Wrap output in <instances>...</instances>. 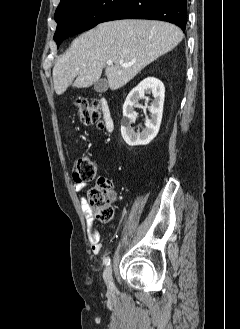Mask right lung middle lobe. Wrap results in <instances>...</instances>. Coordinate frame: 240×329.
<instances>
[{"mask_svg":"<svg viewBox=\"0 0 240 329\" xmlns=\"http://www.w3.org/2000/svg\"><path fill=\"white\" fill-rule=\"evenodd\" d=\"M124 0H71L55 13L57 46L69 36L93 28Z\"/></svg>","mask_w":240,"mask_h":329,"instance_id":"dd1d6c3e","label":"right lung middle lobe"}]
</instances>
